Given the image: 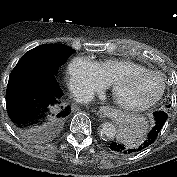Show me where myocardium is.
Here are the masks:
<instances>
[{
	"label": "myocardium",
	"instance_id": "myocardium-1",
	"mask_svg": "<svg viewBox=\"0 0 177 177\" xmlns=\"http://www.w3.org/2000/svg\"><path fill=\"white\" fill-rule=\"evenodd\" d=\"M144 75L153 76V77H156L159 79L161 86H160V90L156 96H154L149 101H146V102H143L140 104H126V103H123L117 99L116 90L120 84H122L127 79L135 78V77H139V76H144ZM110 88H111L112 99L118 107H120L121 109L126 110V111L140 112V111H144V110L151 108L162 98V96L164 95V92H165L166 84H165V80H164L163 76L160 73L155 72V71H151V70H141V71L127 72V73L117 76L111 82Z\"/></svg>",
	"mask_w": 177,
	"mask_h": 177
}]
</instances>
